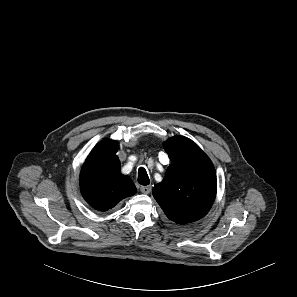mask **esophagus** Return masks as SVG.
<instances>
[{
	"label": "esophagus",
	"mask_w": 297,
	"mask_h": 297,
	"mask_svg": "<svg viewBox=\"0 0 297 297\" xmlns=\"http://www.w3.org/2000/svg\"><path fill=\"white\" fill-rule=\"evenodd\" d=\"M140 191L144 194H149L151 192V186H141Z\"/></svg>",
	"instance_id": "esophagus-1"
}]
</instances>
